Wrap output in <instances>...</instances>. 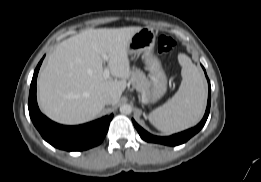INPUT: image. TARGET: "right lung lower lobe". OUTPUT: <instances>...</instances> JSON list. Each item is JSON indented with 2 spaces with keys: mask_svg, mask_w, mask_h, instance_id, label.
<instances>
[{
  "mask_svg": "<svg viewBox=\"0 0 261 182\" xmlns=\"http://www.w3.org/2000/svg\"><path fill=\"white\" fill-rule=\"evenodd\" d=\"M42 61L43 59L34 71L28 108L31 120L43 139L66 151H81L99 145L108 131L113 114L83 125L64 126L51 121L40 112L36 100V81Z\"/></svg>",
  "mask_w": 261,
  "mask_h": 182,
  "instance_id": "1",
  "label": "right lung lower lobe"
}]
</instances>
